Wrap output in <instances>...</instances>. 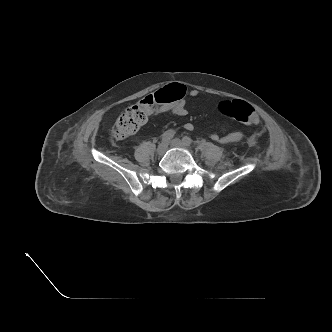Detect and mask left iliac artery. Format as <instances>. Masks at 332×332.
Returning <instances> with one entry per match:
<instances>
[{"mask_svg":"<svg viewBox=\"0 0 332 332\" xmlns=\"http://www.w3.org/2000/svg\"><path fill=\"white\" fill-rule=\"evenodd\" d=\"M182 140L188 146L192 144V139L190 137H188V136L183 137Z\"/></svg>","mask_w":332,"mask_h":332,"instance_id":"obj_1","label":"left iliac artery"}]
</instances>
